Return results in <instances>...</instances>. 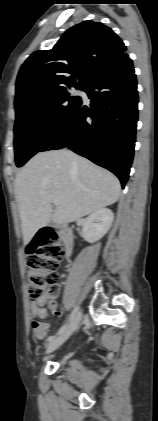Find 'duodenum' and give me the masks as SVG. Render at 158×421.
<instances>
[{"label": "duodenum", "instance_id": "410a0bca", "mask_svg": "<svg viewBox=\"0 0 158 421\" xmlns=\"http://www.w3.org/2000/svg\"><path fill=\"white\" fill-rule=\"evenodd\" d=\"M43 231L45 233H50V230L47 228H45ZM60 236L64 244L66 254L68 255L71 252L72 243H73L72 232L67 226H62L61 231H60Z\"/></svg>", "mask_w": 158, "mask_h": 421}]
</instances>
